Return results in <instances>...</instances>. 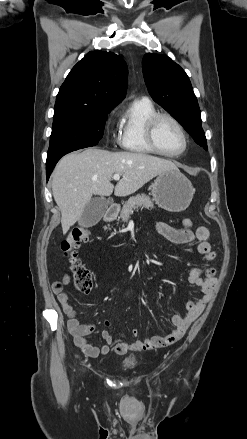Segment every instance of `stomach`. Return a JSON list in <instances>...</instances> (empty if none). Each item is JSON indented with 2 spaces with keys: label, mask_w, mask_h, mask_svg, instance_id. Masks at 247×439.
Listing matches in <instances>:
<instances>
[{
  "label": "stomach",
  "mask_w": 247,
  "mask_h": 439,
  "mask_svg": "<svg viewBox=\"0 0 247 439\" xmlns=\"http://www.w3.org/2000/svg\"><path fill=\"white\" fill-rule=\"evenodd\" d=\"M194 188L179 169H170L157 175L152 185L155 203L170 212L184 211L191 203Z\"/></svg>",
  "instance_id": "1"
}]
</instances>
